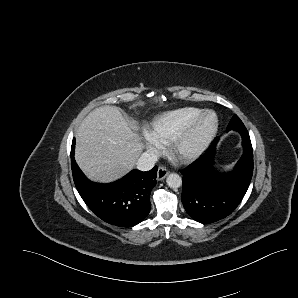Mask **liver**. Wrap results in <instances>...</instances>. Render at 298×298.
<instances>
[{"mask_svg": "<svg viewBox=\"0 0 298 298\" xmlns=\"http://www.w3.org/2000/svg\"><path fill=\"white\" fill-rule=\"evenodd\" d=\"M144 149L117 107L90 112L78 127L75 160L93 181L110 182L134 168Z\"/></svg>", "mask_w": 298, "mask_h": 298, "instance_id": "1", "label": "liver"}]
</instances>
